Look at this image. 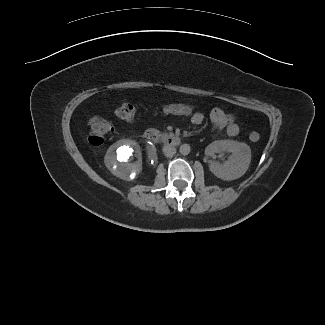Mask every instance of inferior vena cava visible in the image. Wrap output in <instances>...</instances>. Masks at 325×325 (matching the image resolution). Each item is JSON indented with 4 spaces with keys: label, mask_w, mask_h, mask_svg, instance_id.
Masks as SVG:
<instances>
[{
    "label": "inferior vena cava",
    "mask_w": 325,
    "mask_h": 325,
    "mask_svg": "<svg viewBox=\"0 0 325 325\" xmlns=\"http://www.w3.org/2000/svg\"><path fill=\"white\" fill-rule=\"evenodd\" d=\"M163 153L166 157H172L176 153V149L173 146L166 145L163 147Z\"/></svg>",
    "instance_id": "obj_1"
}]
</instances>
